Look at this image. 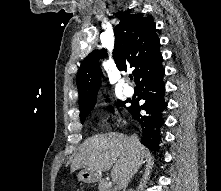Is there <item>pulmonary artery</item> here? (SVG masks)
<instances>
[{"instance_id": "e3ab8cb5", "label": "pulmonary artery", "mask_w": 221, "mask_h": 191, "mask_svg": "<svg viewBox=\"0 0 221 191\" xmlns=\"http://www.w3.org/2000/svg\"><path fill=\"white\" fill-rule=\"evenodd\" d=\"M123 92L126 97H132L134 95V88L130 85H125Z\"/></svg>"}]
</instances>
